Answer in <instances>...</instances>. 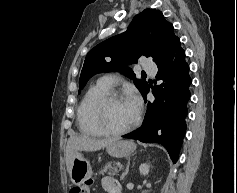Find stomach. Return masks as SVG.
Returning <instances> with one entry per match:
<instances>
[{"mask_svg":"<svg viewBox=\"0 0 237 193\" xmlns=\"http://www.w3.org/2000/svg\"><path fill=\"white\" fill-rule=\"evenodd\" d=\"M136 149L132 141L116 140L106 146L107 153L116 158H124L131 155ZM92 168L90 162L86 160L81 152H76L73 157L70 177L75 185H80L92 177Z\"/></svg>","mask_w":237,"mask_h":193,"instance_id":"1","label":"stomach"}]
</instances>
